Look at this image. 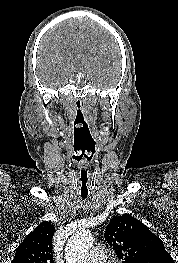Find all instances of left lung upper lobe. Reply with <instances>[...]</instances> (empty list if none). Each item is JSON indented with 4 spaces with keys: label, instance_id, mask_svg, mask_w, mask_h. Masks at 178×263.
I'll list each match as a JSON object with an SVG mask.
<instances>
[{
    "label": "left lung upper lobe",
    "instance_id": "left-lung-upper-lobe-1",
    "mask_svg": "<svg viewBox=\"0 0 178 263\" xmlns=\"http://www.w3.org/2000/svg\"><path fill=\"white\" fill-rule=\"evenodd\" d=\"M104 237L122 263H174L162 240L129 214L113 217Z\"/></svg>",
    "mask_w": 178,
    "mask_h": 263
}]
</instances>
